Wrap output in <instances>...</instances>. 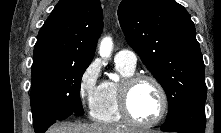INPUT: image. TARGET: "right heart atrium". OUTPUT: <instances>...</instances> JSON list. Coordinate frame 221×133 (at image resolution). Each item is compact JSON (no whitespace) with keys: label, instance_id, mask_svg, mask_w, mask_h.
Instances as JSON below:
<instances>
[{"label":"right heart atrium","instance_id":"1","mask_svg":"<svg viewBox=\"0 0 221 133\" xmlns=\"http://www.w3.org/2000/svg\"><path fill=\"white\" fill-rule=\"evenodd\" d=\"M100 65L92 61L81 73L78 94L83 107L92 113L100 90Z\"/></svg>","mask_w":221,"mask_h":133}]
</instances>
